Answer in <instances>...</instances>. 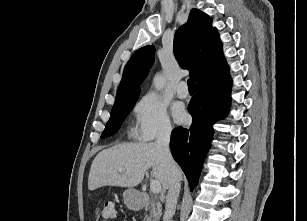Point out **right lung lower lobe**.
I'll use <instances>...</instances> for the list:
<instances>
[{
	"mask_svg": "<svg viewBox=\"0 0 307 221\" xmlns=\"http://www.w3.org/2000/svg\"><path fill=\"white\" fill-rule=\"evenodd\" d=\"M230 78L206 88L196 89L188 111L193 117L190 128L172 131L170 148L175 161L184 171L190 189L198 183L206 153L213 139V124L224 118L230 106Z\"/></svg>",
	"mask_w": 307,
	"mask_h": 221,
	"instance_id": "98d812e1",
	"label": "right lung lower lobe"
}]
</instances>
